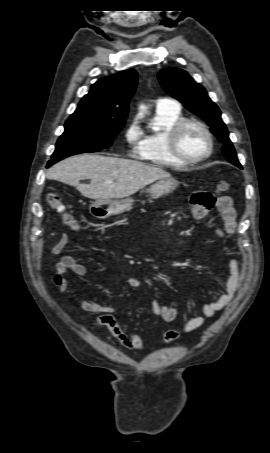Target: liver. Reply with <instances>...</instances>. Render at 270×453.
I'll list each match as a JSON object with an SVG mask.
<instances>
[{"instance_id":"obj_1","label":"liver","mask_w":270,"mask_h":453,"mask_svg":"<svg viewBox=\"0 0 270 453\" xmlns=\"http://www.w3.org/2000/svg\"><path fill=\"white\" fill-rule=\"evenodd\" d=\"M46 176L74 186L83 196L95 200L128 197L148 184L171 177L160 167L93 154L68 157L52 166ZM84 179H90V184H81Z\"/></svg>"}]
</instances>
